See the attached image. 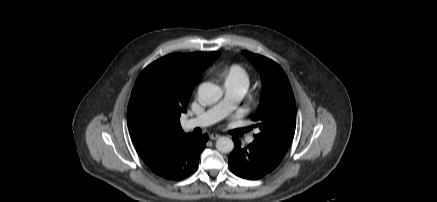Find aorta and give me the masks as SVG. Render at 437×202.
<instances>
[{
  "mask_svg": "<svg viewBox=\"0 0 437 202\" xmlns=\"http://www.w3.org/2000/svg\"><path fill=\"white\" fill-rule=\"evenodd\" d=\"M198 96L201 102L210 105L218 102L222 98L223 92L219 86L204 82L198 88ZM216 148L221 153H230L234 149V143L229 137L223 136L216 141Z\"/></svg>",
  "mask_w": 437,
  "mask_h": 202,
  "instance_id": "762f6f07",
  "label": "aorta"
}]
</instances>
